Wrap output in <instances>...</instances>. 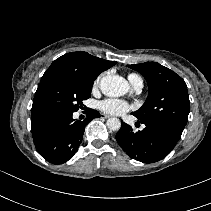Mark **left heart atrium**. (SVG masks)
I'll use <instances>...</instances> for the list:
<instances>
[{"label":"left heart atrium","mask_w":211,"mask_h":211,"mask_svg":"<svg viewBox=\"0 0 211 211\" xmlns=\"http://www.w3.org/2000/svg\"><path fill=\"white\" fill-rule=\"evenodd\" d=\"M99 108L112 115H121L131 109V106L120 99H105L99 103Z\"/></svg>","instance_id":"obj_1"}]
</instances>
